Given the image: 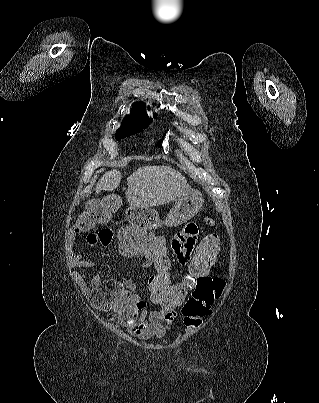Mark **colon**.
Here are the masks:
<instances>
[{"mask_svg":"<svg viewBox=\"0 0 319 403\" xmlns=\"http://www.w3.org/2000/svg\"><path fill=\"white\" fill-rule=\"evenodd\" d=\"M121 199L117 192H107L105 197H92L85 204L84 212L77 221V229L86 231L95 224H106L115 216ZM208 223L213 221L208 219ZM168 234H151L140 226H123L119 234L111 238L119 249L122 260H144V268L149 270V304H157V313H177V331L180 339L189 332L193 335L200 331L206 317L211 315V305L222 300L226 282H217L216 276H208L214 264L222 258V238L210 236L195 241L192 260L183 268L179 282H171V268H176V260L167 252L170 243ZM193 291L198 296H188ZM182 301V308L178 309Z\"/></svg>","mask_w":319,"mask_h":403,"instance_id":"5ec220e1","label":"colon"}]
</instances>
